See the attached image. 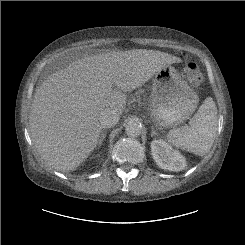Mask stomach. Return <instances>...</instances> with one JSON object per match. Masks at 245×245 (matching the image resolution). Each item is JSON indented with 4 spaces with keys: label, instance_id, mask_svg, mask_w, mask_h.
I'll return each mask as SVG.
<instances>
[{
    "label": "stomach",
    "instance_id": "1",
    "mask_svg": "<svg viewBox=\"0 0 245 245\" xmlns=\"http://www.w3.org/2000/svg\"><path fill=\"white\" fill-rule=\"evenodd\" d=\"M152 82L150 115L157 126L174 128L192 116L198 95L173 66L159 70Z\"/></svg>",
    "mask_w": 245,
    "mask_h": 245
}]
</instances>
